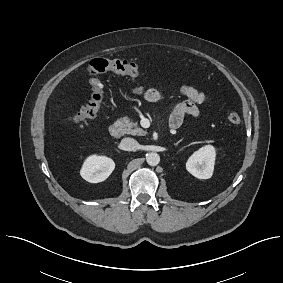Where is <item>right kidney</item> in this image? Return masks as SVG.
<instances>
[{
	"label": "right kidney",
	"mask_w": 283,
	"mask_h": 283,
	"mask_svg": "<svg viewBox=\"0 0 283 283\" xmlns=\"http://www.w3.org/2000/svg\"><path fill=\"white\" fill-rule=\"evenodd\" d=\"M115 168L112 159L105 156L92 155L88 157L80 171L82 178L90 183H99L106 180Z\"/></svg>",
	"instance_id": "1"
}]
</instances>
